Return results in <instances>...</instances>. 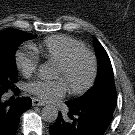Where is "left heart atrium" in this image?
<instances>
[{"mask_svg":"<svg viewBox=\"0 0 135 135\" xmlns=\"http://www.w3.org/2000/svg\"><path fill=\"white\" fill-rule=\"evenodd\" d=\"M28 91L40 100L50 102L63 97L66 94L67 85L61 79L56 81L38 80L28 85Z\"/></svg>","mask_w":135,"mask_h":135,"instance_id":"left-heart-atrium-1","label":"left heart atrium"}]
</instances>
